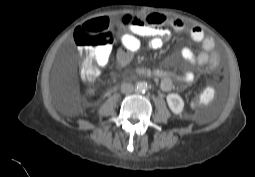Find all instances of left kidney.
Segmentation results:
<instances>
[{
	"instance_id": "left-kidney-1",
	"label": "left kidney",
	"mask_w": 255,
	"mask_h": 177,
	"mask_svg": "<svg viewBox=\"0 0 255 177\" xmlns=\"http://www.w3.org/2000/svg\"><path fill=\"white\" fill-rule=\"evenodd\" d=\"M166 100L169 108L174 114H180L183 111L184 101L178 94H168Z\"/></svg>"
}]
</instances>
